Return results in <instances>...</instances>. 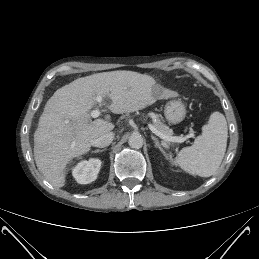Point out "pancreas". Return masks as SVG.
I'll return each instance as SVG.
<instances>
[{"label":"pancreas","instance_id":"obj_1","mask_svg":"<svg viewBox=\"0 0 259 259\" xmlns=\"http://www.w3.org/2000/svg\"><path fill=\"white\" fill-rule=\"evenodd\" d=\"M155 118L156 121L153 122V126L161 133L167 136H173V130L166 126L164 123H162L158 116H156Z\"/></svg>","mask_w":259,"mask_h":259}]
</instances>
